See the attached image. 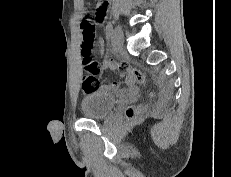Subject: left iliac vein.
<instances>
[{
	"label": "left iliac vein",
	"mask_w": 231,
	"mask_h": 177,
	"mask_svg": "<svg viewBox=\"0 0 231 177\" xmlns=\"http://www.w3.org/2000/svg\"><path fill=\"white\" fill-rule=\"evenodd\" d=\"M112 43L115 48H121L124 44V34L120 26H117L114 29L112 36Z\"/></svg>",
	"instance_id": "obj_1"
}]
</instances>
